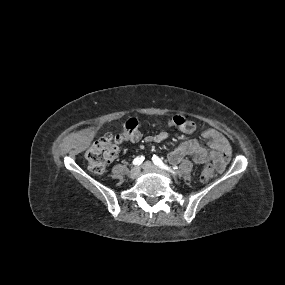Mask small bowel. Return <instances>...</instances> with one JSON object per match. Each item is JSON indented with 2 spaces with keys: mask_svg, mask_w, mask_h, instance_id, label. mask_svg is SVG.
I'll list each match as a JSON object with an SVG mask.
<instances>
[{
  "mask_svg": "<svg viewBox=\"0 0 285 285\" xmlns=\"http://www.w3.org/2000/svg\"><path fill=\"white\" fill-rule=\"evenodd\" d=\"M203 137L207 140L210 149L200 144L197 138H190L182 142L177 148L169 152L168 160L173 164L180 163L187 155L193 156L196 164L212 161L218 172H222L231 156V146L227 138L221 133L209 129L204 132ZM168 138L166 131H160L145 137L148 143H160Z\"/></svg>",
  "mask_w": 285,
  "mask_h": 285,
  "instance_id": "1",
  "label": "small bowel"
}]
</instances>
